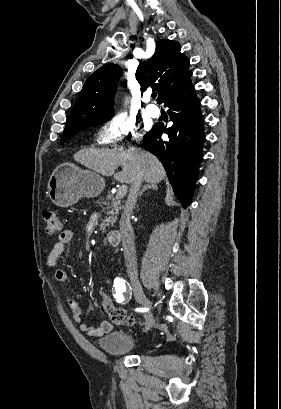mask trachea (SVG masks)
Returning <instances> with one entry per match:
<instances>
[{"mask_svg": "<svg viewBox=\"0 0 281 409\" xmlns=\"http://www.w3.org/2000/svg\"><path fill=\"white\" fill-rule=\"evenodd\" d=\"M156 96H157L156 92H153L152 95H151L152 98H156Z\"/></svg>", "mask_w": 281, "mask_h": 409, "instance_id": "trachea-1", "label": "trachea"}]
</instances>
